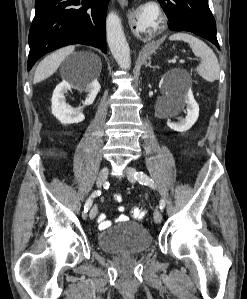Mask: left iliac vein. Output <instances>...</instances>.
<instances>
[{
    "instance_id": "left-iliac-vein-1",
    "label": "left iliac vein",
    "mask_w": 247,
    "mask_h": 299,
    "mask_svg": "<svg viewBox=\"0 0 247 299\" xmlns=\"http://www.w3.org/2000/svg\"><path fill=\"white\" fill-rule=\"evenodd\" d=\"M135 173H136V169L133 167L128 166L126 168V174H127V178L130 182L134 183L136 181L135 178ZM162 214L159 210H155L154 212V221L159 224L162 222Z\"/></svg>"
}]
</instances>
